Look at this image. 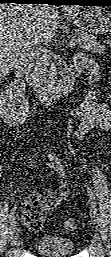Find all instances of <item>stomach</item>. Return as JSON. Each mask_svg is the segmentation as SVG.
Here are the masks:
<instances>
[{
    "label": "stomach",
    "instance_id": "stomach-1",
    "mask_svg": "<svg viewBox=\"0 0 111 257\" xmlns=\"http://www.w3.org/2000/svg\"><path fill=\"white\" fill-rule=\"evenodd\" d=\"M89 5V4H87ZM75 25L94 34H103L111 28V14L104 7H74L66 13Z\"/></svg>",
    "mask_w": 111,
    "mask_h": 257
}]
</instances>
